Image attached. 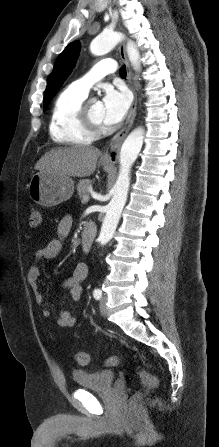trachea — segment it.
Instances as JSON below:
<instances>
[{
  "mask_svg": "<svg viewBox=\"0 0 219 447\" xmlns=\"http://www.w3.org/2000/svg\"><path fill=\"white\" fill-rule=\"evenodd\" d=\"M119 73H120V76H121L122 78H125V77H126V66H122V67L120 68Z\"/></svg>",
  "mask_w": 219,
  "mask_h": 447,
  "instance_id": "1",
  "label": "trachea"
}]
</instances>
